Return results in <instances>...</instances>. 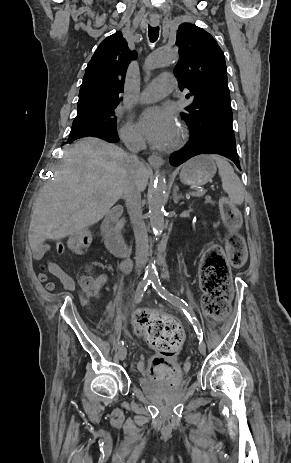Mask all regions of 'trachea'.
<instances>
[{
  "mask_svg": "<svg viewBox=\"0 0 291 463\" xmlns=\"http://www.w3.org/2000/svg\"><path fill=\"white\" fill-rule=\"evenodd\" d=\"M148 36L151 42H155L159 36V27L148 26Z\"/></svg>",
  "mask_w": 291,
  "mask_h": 463,
  "instance_id": "obj_1",
  "label": "trachea"
}]
</instances>
